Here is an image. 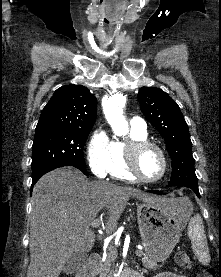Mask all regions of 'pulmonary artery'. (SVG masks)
Masks as SVG:
<instances>
[{"label":"pulmonary artery","instance_id":"e3ab8cb5","mask_svg":"<svg viewBox=\"0 0 221 277\" xmlns=\"http://www.w3.org/2000/svg\"><path fill=\"white\" fill-rule=\"evenodd\" d=\"M130 126L132 129L143 131V132L146 131V128H147L146 122L140 117H133L130 120Z\"/></svg>","mask_w":221,"mask_h":277}]
</instances>
